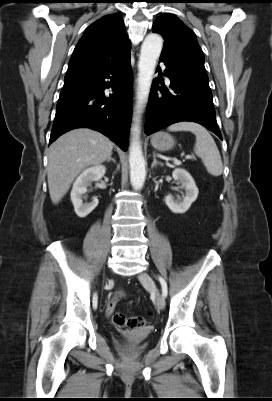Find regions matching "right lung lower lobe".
Returning <instances> with one entry per match:
<instances>
[{"label":"right lung lower lobe","mask_w":272,"mask_h":401,"mask_svg":"<svg viewBox=\"0 0 272 401\" xmlns=\"http://www.w3.org/2000/svg\"><path fill=\"white\" fill-rule=\"evenodd\" d=\"M130 54L101 73L64 86L57 103L50 144L75 128L95 129L120 146L128 148L132 112ZM113 93L105 95L104 90Z\"/></svg>","instance_id":"right-lung-lower-lobe-1"}]
</instances>
